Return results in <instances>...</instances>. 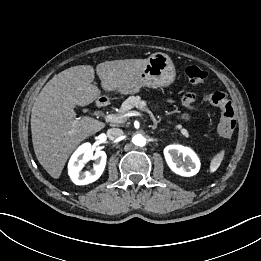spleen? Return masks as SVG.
Segmentation results:
<instances>
[{"label":"spleen","mask_w":261,"mask_h":261,"mask_svg":"<svg viewBox=\"0 0 261 261\" xmlns=\"http://www.w3.org/2000/svg\"><path fill=\"white\" fill-rule=\"evenodd\" d=\"M224 154H225L224 150H221L211 159L210 168H209L210 173H214L219 168L224 158Z\"/></svg>","instance_id":"1"}]
</instances>
